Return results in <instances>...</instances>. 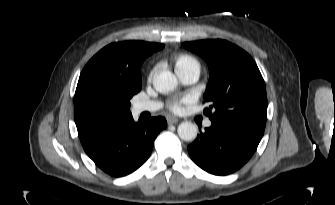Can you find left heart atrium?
Here are the masks:
<instances>
[{"mask_svg":"<svg viewBox=\"0 0 335 205\" xmlns=\"http://www.w3.org/2000/svg\"><path fill=\"white\" fill-rule=\"evenodd\" d=\"M189 101V98L188 97H184L182 98L181 100H176V101H173L171 103V109L174 111V112H180L181 109H182V104L183 103H186Z\"/></svg>","mask_w":335,"mask_h":205,"instance_id":"39dd6f15","label":"left heart atrium"}]
</instances>
